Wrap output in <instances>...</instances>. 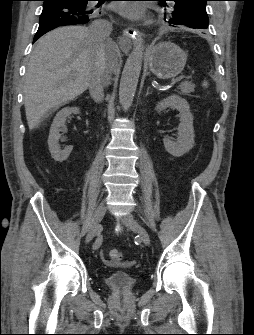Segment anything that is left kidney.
<instances>
[{
    "label": "left kidney",
    "instance_id": "left-kidney-1",
    "mask_svg": "<svg viewBox=\"0 0 254 335\" xmlns=\"http://www.w3.org/2000/svg\"><path fill=\"white\" fill-rule=\"evenodd\" d=\"M174 108L179 111L180 124L178 127L177 139L164 138L163 143L168 153L175 157H181L189 152L194 146L193 117L190 113L188 102L177 96L171 95L156 105L155 110L162 111L166 108Z\"/></svg>",
    "mask_w": 254,
    "mask_h": 335
}]
</instances>
